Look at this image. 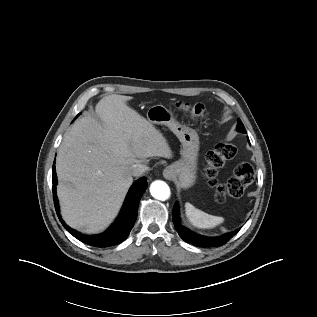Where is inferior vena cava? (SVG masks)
I'll return each instance as SVG.
<instances>
[{
    "mask_svg": "<svg viewBox=\"0 0 317 317\" xmlns=\"http://www.w3.org/2000/svg\"><path fill=\"white\" fill-rule=\"evenodd\" d=\"M148 170H149V167L147 165L137 163L131 167L130 174L132 176H140Z\"/></svg>",
    "mask_w": 317,
    "mask_h": 317,
    "instance_id": "1",
    "label": "inferior vena cava"
}]
</instances>
